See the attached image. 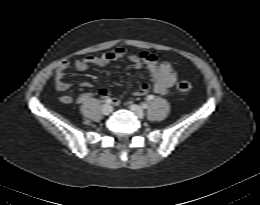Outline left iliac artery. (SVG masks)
Here are the masks:
<instances>
[{"mask_svg": "<svg viewBox=\"0 0 260 205\" xmlns=\"http://www.w3.org/2000/svg\"><path fill=\"white\" fill-rule=\"evenodd\" d=\"M152 98H153V96L150 95V96H149V99H152ZM142 107H143L144 109H146V108L148 107V105H147L146 103H143V104H142Z\"/></svg>", "mask_w": 260, "mask_h": 205, "instance_id": "left-iliac-artery-1", "label": "left iliac artery"}]
</instances>
